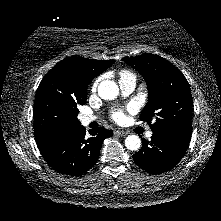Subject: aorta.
<instances>
[{
    "label": "aorta",
    "mask_w": 221,
    "mask_h": 221,
    "mask_svg": "<svg viewBox=\"0 0 221 221\" xmlns=\"http://www.w3.org/2000/svg\"><path fill=\"white\" fill-rule=\"evenodd\" d=\"M98 95L104 100H113L119 95L118 85L111 80H104L98 86ZM128 150L136 151L141 146V139L137 135H130L125 139Z\"/></svg>",
    "instance_id": "1"
}]
</instances>
